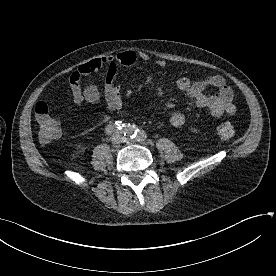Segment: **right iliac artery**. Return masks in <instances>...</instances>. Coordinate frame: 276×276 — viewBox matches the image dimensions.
<instances>
[{
    "label": "right iliac artery",
    "mask_w": 276,
    "mask_h": 276,
    "mask_svg": "<svg viewBox=\"0 0 276 276\" xmlns=\"http://www.w3.org/2000/svg\"><path fill=\"white\" fill-rule=\"evenodd\" d=\"M115 129L120 130L124 135L130 138H134L137 132L135 126L122 123L121 121H116L115 123L109 124L106 127L105 133L107 135H111L115 131Z\"/></svg>",
    "instance_id": "1"
}]
</instances>
